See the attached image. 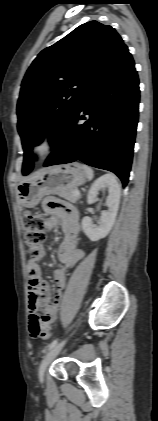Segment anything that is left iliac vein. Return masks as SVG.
<instances>
[{
    "label": "left iliac vein",
    "mask_w": 158,
    "mask_h": 421,
    "mask_svg": "<svg viewBox=\"0 0 158 421\" xmlns=\"http://www.w3.org/2000/svg\"><path fill=\"white\" fill-rule=\"evenodd\" d=\"M65 342L66 341L64 340V341L58 343L43 358V360H42V362H41V364L39 366V372H38L40 381H43L44 380V375H45V371H46L47 367L55 359V357L59 354V352L61 351V349L64 346Z\"/></svg>",
    "instance_id": "4c4485c4"
}]
</instances>
